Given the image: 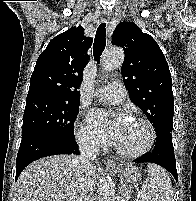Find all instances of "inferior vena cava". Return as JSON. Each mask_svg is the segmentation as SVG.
Listing matches in <instances>:
<instances>
[{
	"instance_id": "602c4592",
	"label": "inferior vena cava",
	"mask_w": 196,
	"mask_h": 201,
	"mask_svg": "<svg viewBox=\"0 0 196 201\" xmlns=\"http://www.w3.org/2000/svg\"><path fill=\"white\" fill-rule=\"evenodd\" d=\"M78 146L80 154L74 158L73 163L76 167V176L81 178L91 164L94 156L98 154L99 147L88 138H79ZM91 195L87 190H80L78 201H93Z\"/></svg>"
}]
</instances>
